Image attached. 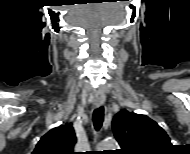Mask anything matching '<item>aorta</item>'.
I'll list each match as a JSON object with an SVG mask.
<instances>
[{
  "mask_svg": "<svg viewBox=\"0 0 190 154\" xmlns=\"http://www.w3.org/2000/svg\"><path fill=\"white\" fill-rule=\"evenodd\" d=\"M118 147V143L115 139H106L104 141H102L98 148L101 149V151L103 150H116Z\"/></svg>",
  "mask_w": 190,
  "mask_h": 154,
  "instance_id": "762f6f07",
  "label": "aorta"
}]
</instances>
